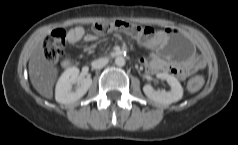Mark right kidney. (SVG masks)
Instances as JSON below:
<instances>
[{
	"label": "right kidney",
	"mask_w": 238,
	"mask_h": 145,
	"mask_svg": "<svg viewBox=\"0 0 238 145\" xmlns=\"http://www.w3.org/2000/svg\"><path fill=\"white\" fill-rule=\"evenodd\" d=\"M79 76V69L71 67L66 69L57 81L55 99L61 104H71L82 98L92 84V79L86 77L80 80V87L73 92L72 84L76 83Z\"/></svg>",
	"instance_id": "obj_1"
}]
</instances>
